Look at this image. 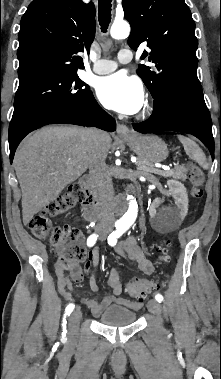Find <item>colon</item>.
Returning <instances> with one entry per match:
<instances>
[{
  "instance_id": "colon-1",
  "label": "colon",
  "mask_w": 221,
  "mask_h": 379,
  "mask_svg": "<svg viewBox=\"0 0 221 379\" xmlns=\"http://www.w3.org/2000/svg\"><path fill=\"white\" fill-rule=\"evenodd\" d=\"M186 175L191 183V195L194 198H200L203 194L202 185L204 183V174L201 169L195 165H188ZM86 198L84 189L78 185H72L69 189L58 198L47 204L38 214H36L28 224L32 234L41 239H48L51 243L59 247L60 261L59 266L64 270L69 268L73 263L83 261L87 257L84 248V239L81 232L72 226H55L51 218L69 213L75 206L82 203ZM171 242L164 241L159 246L160 257L163 261H168V252ZM158 285L155 282L137 278L128 286L129 294L138 301L156 290Z\"/></svg>"
}]
</instances>
